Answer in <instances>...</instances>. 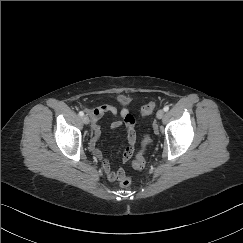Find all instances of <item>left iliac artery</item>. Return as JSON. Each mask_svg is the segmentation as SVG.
Wrapping results in <instances>:
<instances>
[{"label": "left iliac artery", "mask_w": 243, "mask_h": 243, "mask_svg": "<svg viewBox=\"0 0 243 243\" xmlns=\"http://www.w3.org/2000/svg\"><path fill=\"white\" fill-rule=\"evenodd\" d=\"M163 110H164L165 112H167V111L169 110V106H165V107L163 108Z\"/></svg>", "instance_id": "44dca946"}]
</instances>
